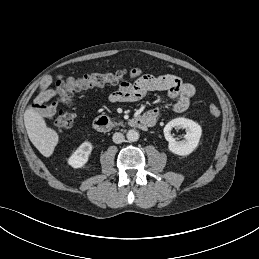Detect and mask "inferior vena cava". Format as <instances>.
<instances>
[{"label":"inferior vena cava","instance_id":"602c4592","mask_svg":"<svg viewBox=\"0 0 259 259\" xmlns=\"http://www.w3.org/2000/svg\"><path fill=\"white\" fill-rule=\"evenodd\" d=\"M113 142L116 143V144H120L124 141V135L120 132H116L113 134Z\"/></svg>","mask_w":259,"mask_h":259}]
</instances>
